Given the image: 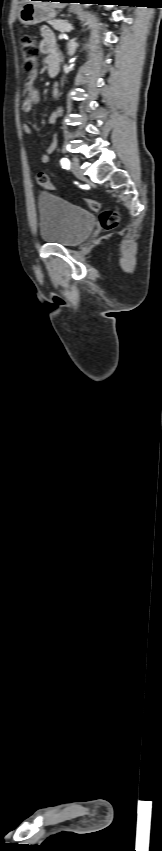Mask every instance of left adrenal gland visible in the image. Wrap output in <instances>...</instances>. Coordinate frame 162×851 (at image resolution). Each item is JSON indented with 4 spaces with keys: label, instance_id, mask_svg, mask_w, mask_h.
I'll use <instances>...</instances> for the list:
<instances>
[{
    "label": "left adrenal gland",
    "instance_id": "left-adrenal-gland-1",
    "mask_svg": "<svg viewBox=\"0 0 162 851\" xmlns=\"http://www.w3.org/2000/svg\"><path fill=\"white\" fill-rule=\"evenodd\" d=\"M78 47H79V43L76 42V38L71 39L67 43V49H68L69 56H73Z\"/></svg>",
    "mask_w": 162,
    "mask_h": 851
}]
</instances>
